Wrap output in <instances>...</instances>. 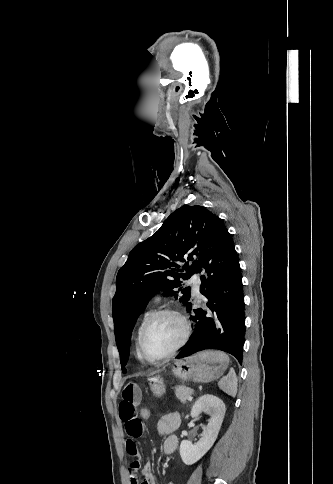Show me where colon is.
<instances>
[{"mask_svg": "<svg viewBox=\"0 0 333 484\" xmlns=\"http://www.w3.org/2000/svg\"><path fill=\"white\" fill-rule=\"evenodd\" d=\"M152 417V412L149 408H142L140 410V420L141 422H149Z\"/></svg>", "mask_w": 333, "mask_h": 484, "instance_id": "1", "label": "colon"}]
</instances>
